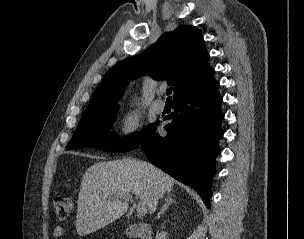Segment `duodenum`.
Masks as SVG:
<instances>
[{"label": "duodenum", "mask_w": 304, "mask_h": 239, "mask_svg": "<svg viewBox=\"0 0 304 239\" xmlns=\"http://www.w3.org/2000/svg\"><path fill=\"white\" fill-rule=\"evenodd\" d=\"M125 233L137 239H152V229L146 223L129 224L125 228Z\"/></svg>", "instance_id": "duodenum-1"}]
</instances>
